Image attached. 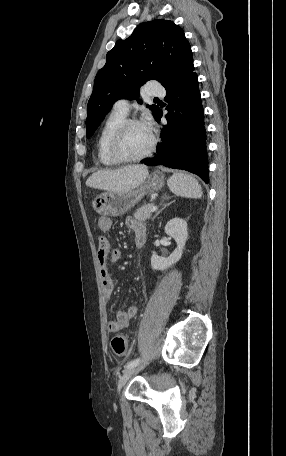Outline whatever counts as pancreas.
<instances>
[{
	"label": "pancreas",
	"mask_w": 286,
	"mask_h": 456,
	"mask_svg": "<svg viewBox=\"0 0 286 456\" xmlns=\"http://www.w3.org/2000/svg\"><path fill=\"white\" fill-rule=\"evenodd\" d=\"M154 206L153 203L144 204L142 207L137 209L134 213V218L140 222H144L151 217V208Z\"/></svg>",
	"instance_id": "cf45deb5"
}]
</instances>
